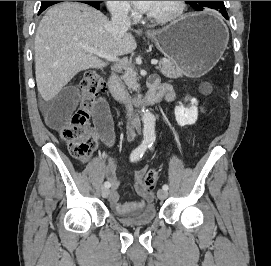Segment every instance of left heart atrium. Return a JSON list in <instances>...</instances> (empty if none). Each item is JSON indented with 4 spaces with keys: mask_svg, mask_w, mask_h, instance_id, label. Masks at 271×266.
<instances>
[{
    "mask_svg": "<svg viewBox=\"0 0 271 266\" xmlns=\"http://www.w3.org/2000/svg\"><path fill=\"white\" fill-rule=\"evenodd\" d=\"M134 3L143 11H149L154 1H134Z\"/></svg>",
    "mask_w": 271,
    "mask_h": 266,
    "instance_id": "left-heart-atrium-1",
    "label": "left heart atrium"
}]
</instances>
